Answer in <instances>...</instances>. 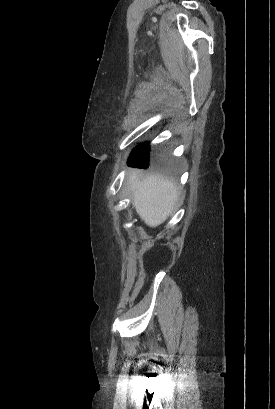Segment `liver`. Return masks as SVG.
<instances>
[{"label":"liver","mask_w":275,"mask_h":409,"mask_svg":"<svg viewBox=\"0 0 275 409\" xmlns=\"http://www.w3.org/2000/svg\"><path fill=\"white\" fill-rule=\"evenodd\" d=\"M129 188L133 194V205L140 219L148 227H158L173 213L178 200L177 186L159 174H149L140 178L138 168L128 174Z\"/></svg>","instance_id":"1"}]
</instances>
